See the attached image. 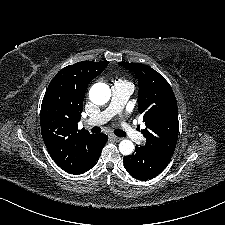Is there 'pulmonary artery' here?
<instances>
[{"mask_svg":"<svg viewBox=\"0 0 225 225\" xmlns=\"http://www.w3.org/2000/svg\"><path fill=\"white\" fill-rule=\"evenodd\" d=\"M133 85L129 82L118 81L112 86V99L110 105L102 112L89 118L86 123L88 125H102L121 110L128 98L133 92ZM124 132L134 141L141 143L144 141V135L138 133L131 125L125 124Z\"/></svg>","mask_w":225,"mask_h":225,"instance_id":"e3ab8cb5","label":"pulmonary artery"}]
</instances>
